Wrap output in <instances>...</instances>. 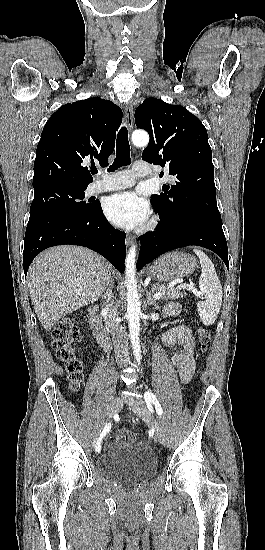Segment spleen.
<instances>
[{
  "mask_svg": "<svg viewBox=\"0 0 265 550\" xmlns=\"http://www.w3.org/2000/svg\"><path fill=\"white\" fill-rule=\"evenodd\" d=\"M199 257L202 272L199 280V288L205 296L204 301L197 303L198 313L204 325H212L221 308L222 286L217 276L215 267L209 257L199 249H193Z\"/></svg>",
  "mask_w": 265,
  "mask_h": 550,
  "instance_id": "spleen-1",
  "label": "spleen"
}]
</instances>
